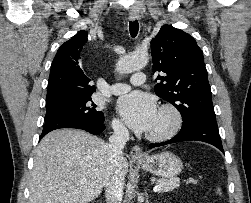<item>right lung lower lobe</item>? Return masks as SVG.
I'll use <instances>...</instances> for the list:
<instances>
[{
    "label": "right lung lower lobe",
    "mask_w": 251,
    "mask_h": 203,
    "mask_svg": "<svg viewBox=\"0 0 251 203\" xmlns=\"http://www.w3.org/2000/svg\"><path fill=\"white\" fill-rule=\"evenodd\" d=\"M60 128H76L91 134H99L105 129L104 123L83 116H65L46 121L40 139L52 130Z\"/></svg>",
    "instance_id": "98d812e1"
}]
</instances>
